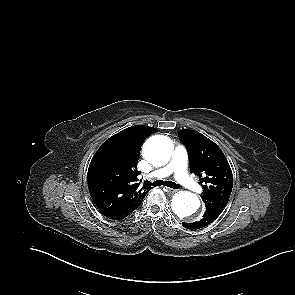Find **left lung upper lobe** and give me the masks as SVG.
Masks as SVG:
<instances>
[{"label": "left lung upper lobe", "mask_w": 295, "mask_h": 295, "mask_svg": "<svg viewBox=\"0 0 295 295\" xmlns=\"http://www.w3.org/2000/svg\"><path fill=\"white\" fill-rule=\"evenodd\" d=\"M179 137L189 154L190 171L200 177L205 207L224 209L233 187L232 171L224 153L195 130H181Z\"/></svg>", "instance_id": "obj_1"}]
</instances>
